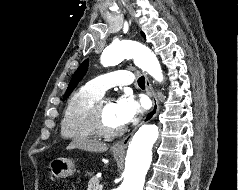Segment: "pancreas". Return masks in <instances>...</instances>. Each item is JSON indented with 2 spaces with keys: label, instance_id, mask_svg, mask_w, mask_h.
<instances>
[{
  "label": "pancreas",
  "instance_id": "1",
  "mask_svg": "<svg viewBox=\"0 0 238 190\" xmlns=\"http://www.w3.org/2000/svg\"><path fill=\"white\" fill-rule=\"evenodd\" d=\"M100 181H99V178L94 176L92 177L89 182H88V188L87 190H99V184Z\"/></svg>",
  "mask_w": 238,
  "mask_h": 190
}]
</instances>
